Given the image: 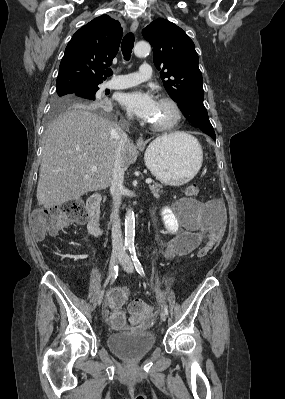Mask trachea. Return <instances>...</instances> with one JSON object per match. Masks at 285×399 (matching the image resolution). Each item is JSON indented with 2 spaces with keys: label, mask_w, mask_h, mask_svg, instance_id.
<instances>
[{
  "label": "trachea",
  "mask_w": 285,
  "mask_h": 399,
  "mask_svg": "<svg viewBox=\"0 0 285 399\" xmlns=\"http://www.w3.org/2000/svg\"><path fill=\"white\" fill-rule=\"evenodd\" d=\"M134 34L133 33H128L124 36L123 40H122V44H121V50L124 56V59L126 61H128L131 57V53H132V49L134 46ZM107 76H111L113 75V72L111 69H107L105 71Z\"/></svg>",
  "instance_id": "obj_1"
}]
</instances>
